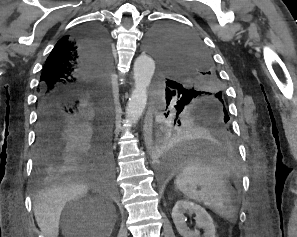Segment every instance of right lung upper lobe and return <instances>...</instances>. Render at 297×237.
<instances>
[{"instance_id":"1","label":"right lung upper lobe","mask_w":297,"mask_h":237,"mask_svg":"<svg viewBox=\"0 0 297 237\" xmlns=\"http://www.w3.org/2000/svg\"><path fill=\"white\" fill-rule=\"evenodd\" d=\"M80 30L65 36L55 45L46 60L41 75V94L60 92L68 100H78L106 81V73L96 80L82 67L83 53L79 42Z\"/></svg>"}]
</instances>
